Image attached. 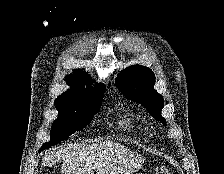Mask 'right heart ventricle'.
<instances>
[{
	"label": "right heart ventricle",
	"instance_id": "right-heart-ventricle-1",
	"mask_svg": "<svg viewBox=\"0 0 224 174\" xmlns=\"http://www.w3.org/2000/svg\"><path fill=\"white\" fill-rule=\"evenodd\" d=\"M132 122L128 119V120H126V121H124V124H126V125H130Z\"/></svg>",
	"mask_w": 224,
	"mask_h": 174
}]
</instances>
